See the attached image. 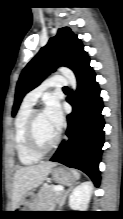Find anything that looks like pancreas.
<instances>
[{"label":"pancreas","mask_w":123,"mask_h":219,"mask_svg":"<svg viewBox=\"0 0 123 219\" xmlns=\"http://www.w3.org/2000/svg\"><path fill=\"white\" fill-rule=\"evenodd\" d=\"M54 185L44 186L38 194L37 210H51L62 197V191L55 192Z\"/></svg>","instance_id":"cf45deb5"}]
</instances>
